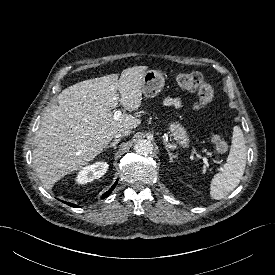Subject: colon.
Masks as SVG:
<instances>
[{
    "label": "colon",
    "mask_w": 275,
    "mask_h": 275,
    "mask_svg": "<svg viewBox=\"0 0 275 275\" xmlns=\"http://www.w3.org/2000/svg\"><path fill=\"white\" fill-rule=\"evenodd\" d=\"M177 85L184 91L194 92L197 95L195 108L197 110L208 106L213 99L212 87L204 80L198 72L180 73L176 76ZM213 148L223 153L227 150L228 142L223 135H214L211 139Z\"/></svg>",
    "instance_id": "colon-1"
}]
</instances>
